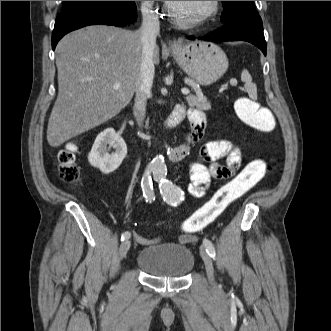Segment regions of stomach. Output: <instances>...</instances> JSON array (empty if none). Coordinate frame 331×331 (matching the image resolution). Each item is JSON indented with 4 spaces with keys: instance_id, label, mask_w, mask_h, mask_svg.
Listing matches in <instances>:
<instances>
[{
    "instance_id": "0dacf381",
    "label": "stomach",
    "mask_w": 331,
    "mask_h": 331,
    "mask_svg": "<svg viewBox=\"0 0 331 331\" xmlns=\"http://www.w3.org/2000/svg\"><path fill=\"white\" fill-rule=\"evenodd\" d=\"M173 54L180 67L204 86L216 82L228 69L226 54L212 42L196 40L178 44Z\"/></svg>"
}]
</instances>
